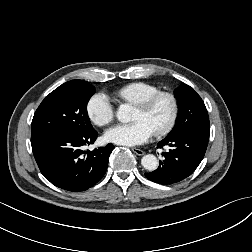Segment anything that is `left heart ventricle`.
I'll list each match as a JSON object with an SVG mask.
<instances>
[{"label":"left heart ventricle","mask_w":252,"mask_h":252,"mask_svg":"<svg viewBox=\"0 0 252 252\" xmlns=\"http://www.w3.org/2000/svg\"><path fill=\"white\" fill-rule=\"evenodd\" d=\"M170 106L166 100H161L157 103L154 109L145 113L141 109L137 108L134 120L146 121L154 130L160 127L167 119L169 114Z\"/></svg>","instance_id":"obj_1"}]
</instances>
